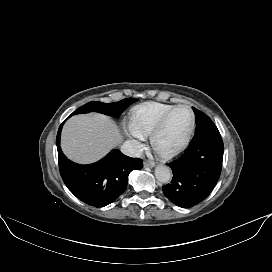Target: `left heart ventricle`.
Masks as SVG:
<instances>
[{"instance_id":"left-heart-ventricle-1","label":"left heart ventricle","mask_w":272,"mask_h":272,"mask_svg":"<svg viewBox=\"0 0 272 272\" xmlns=\"http://www.w3.org/2000/svg\"><path fill=\"white\" fill-rule=\"evenodd\" d=\"M191 124V115L186 109L175 111L158 135L155 145L160 150L177 147L186 137Z\"/></svg>"}]
</instances>
